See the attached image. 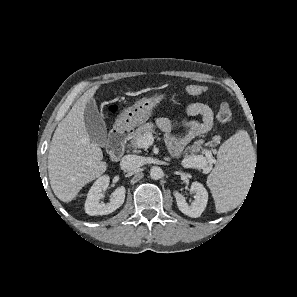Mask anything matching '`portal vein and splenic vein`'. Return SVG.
<instances>
[{"label": "portal vein and splenic vein", "instance_id": "18ae733b", "mask_svg": "<svg viewBox=\"0 0 297 297\" xmlns=\"http://www.w3.org/2000/svg\"><path fill=\"white\" fill-rule=\"evenodd\" d=\"M154 137L152 134L148 133L145 134L140 140H139V146L141 147H149L153 144ZM198 158H203L201 156H194L192 157V161H196Z\"/></svg>", "mask_w": 297, "mask_h": 297}]
</instances>
